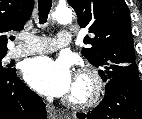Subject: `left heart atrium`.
I'll return each instance as SVG.
<instances>
[{"label":"left heart atrium","instance_id":"left-heart-atrium-1","mask_svg":"<svg viewBox=\"0 0 142 119\" xmlns=\"http://www.w3.org/2000/svg\"><path fill=\"white\" fill-rule=\"evenodd\" d=\"M24 78L36 91L55 97L68 95L74 84L69 64L49 57L31 59L24 68Z\"/></svg>","mask_w":142,"mask_h":119}]
</instances>
